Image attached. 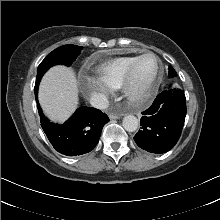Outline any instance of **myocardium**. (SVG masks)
<instances>
[{"label":"myocardium","mask_w":220,"mask_h":220,"mask_svg":"<svg viewBox=\"0 0 220 220\" xmlns=\"http://www.w3.org/2000/svg\"><path fill=\"white\" fill-rule=\"evenodd\" d=\"M146 56H153L157 61V71L153 79L147 83L142 89L136 91L133 89V83H134V75L135 70L138 65V63ZM162 75V62L159 56L153 52H145L141 55H139L134 62L130 65L128 68L126 75L124 77L121 89L123 92V95L132 102H141L143 101L149 93L152 91V89L155 87V85L158 83Z\"/></svg>","instance_id":"1"}]
</instances>
